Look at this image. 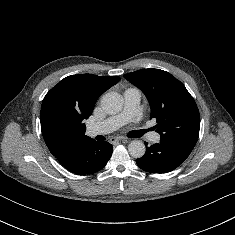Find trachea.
Returning <instances> with one entry per match:
<instances>
[{"instance_id":"1","label":"trachea","mask_w":235,"mask_h":235,"mask_svg":"<svg viewBox=\"0 0 235 235\" xmlns=\"http://www.w3.org/2000/svg\"><path fill=\"white\" fill-rule=\"evenodd\" d=\"M136 133H138V134L140 135L142 132H139V131H138V132H136Z\"/></svg>"}]
</instances>
